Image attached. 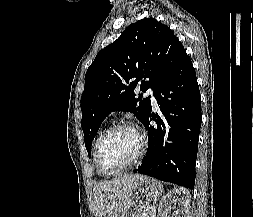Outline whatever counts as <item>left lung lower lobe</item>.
Wrapping results in <instances>:
<instances>
[{
	"label": "left lung lower lobe",
	"instance_id": "0a47b994",
	"mask_svg": "<svg viewBox=\"0 0 253 217\" xmlns=\"http://www.w3.org/2000/svg\"><path fill=\"white\" fill-rule=\"evenodd\" d=\"M161 116L143 120L149 143L134 173L194 189L195 162L201 127V99L195 70L185 54L154 92ZM154 120L156 126H149Z\"/></svg>",
	"mask_w": 253,
	"mask_h": 217
}]
</instances>
